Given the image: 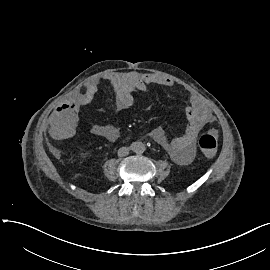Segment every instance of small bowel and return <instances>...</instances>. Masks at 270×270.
I'll use <instances>...</instances> for the list:
<instances>
[{"label":"small bowel","mask_w":270,"mask_h":270,"mask_svg":"<svg viewBox=\"0 0 270 270\" xmlns=\"http://www.w3.org/2000/svg\"><path fill=\"white\" fill-rule=\"evenodd\" d=\"M103 79L112 85L116 96V108L119 111L127 110L135 105L136 101L133 96L135 91L146 93L149 85H158L165 88L174 86V82L167 77L134 71L110 73ZM99 84L98 80H93L75 99L61 102L56 107V114H52L44 122V131L49 136L70 139L80 129V120L77 115L81 107L93 100L98 92ZM185 116L187 125L183 134L179 137L169 140L161 129H155L150 133V137L163 147L171 159L178 164H186L194 158L197 135L204 127L215 121L212 112L197 96L189 98L185 107ZM90 132L94 136L104 138L109 142L118 140L121 135V130L116 125L96 124L90 128Z\"/></svg>","instance_id":"small-bowel-1"}]
</instances>
